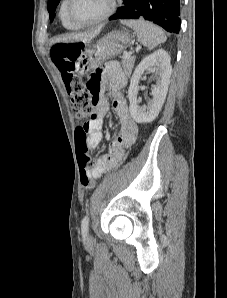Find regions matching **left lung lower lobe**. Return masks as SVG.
I'll return each instance as SVG.
<instances>
[{"label":"left lung lower lobe","mask_w":227,"mask_h":298,"mask_svg":"<svg viewBox=\"0 0 227 298\" xmlns=\"http://www.w3.org/2000/svg\"><path fill=\"white\" fill-rule=\"evenodd\" d=\"M180 0H123V6L109 18L145 19L163 27L168 32L179 33Z\"/></svg>","instance_id":"left-lung-lower-lobe-1"}]
</instances>
